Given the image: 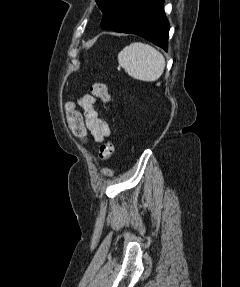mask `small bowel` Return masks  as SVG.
I'll return each instance as SVG.
<instances>
[{
    "label": "small bowel",
    "instance_id": "obj_1",
    "mask_svg": "<svg viewBox=\"0 0 240 287\" xmlns=\"http://www.w3.org/2000/svg\"><path fill=\"white\" fill-rule=\"evenodd\" d=\"M77 102L83 110L86 131L92 135L97 143H101L110 136L111 132L106 120L101 118L96 110V98L91 94L84 93Z\"/></svg>",
    "mask_w": 240,
    "mask_h": 287
}]
</instances>
